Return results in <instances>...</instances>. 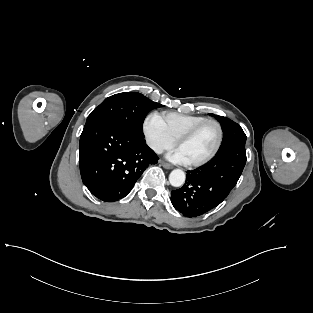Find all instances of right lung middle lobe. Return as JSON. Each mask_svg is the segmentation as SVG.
Segmentation results:
<instances>
[{"mask_svg": "<svg viewBox=\"0 0 313 313\" xmlns=\"http://www.w3.org/2000/svg\"><path fill=\"white\" fill-rule=\"evenodd\" d=\"M163 105L153 102L137 92H124L106 98L88 116L85 126L97 121L116 122L143 136V122L150 110Z\"/></svg>", "mask_w": 313, "mask_h": 313, "instance_id": "1", "label": "right lung middle lobe"}]
</instances>
